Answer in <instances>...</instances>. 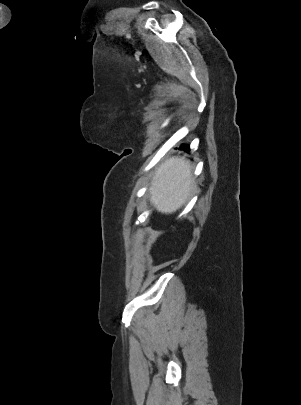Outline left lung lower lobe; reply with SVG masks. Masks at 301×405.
I'll return each instance as SVG.
<instances>
[{"label": "left lung lower lobe", "mask_w": 301, "mask_h": 405, "mask_svg": "<svg viewBox=\"0 0 301 405\" xmlns=\"http://www.w3.org/2000/svg\"><path fill=\"white\" fill-rule=\"evenodd\" d=\"M179 149L184 150L186 152H189L190 151V146H189V144H182Z\"/></svg>", "instance_id": "1"}]
</instances>
